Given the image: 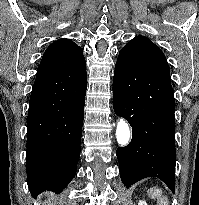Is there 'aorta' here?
I'll return each instance as SVG.
<instances>
[{"instance_id": "obj_1", "label": "aorta", "mask_w": 199, "mask_h": 205, "mask_svg": "<svg viewBox=\"0 0 199 205\" xmlns=\"http://www.w3.org/2000/svg\"><path fill=\"white\" fill-rule=\"evenodd\" d=\"M131 137V132L129 129V125L125 120H120L117 123V128H116V138L117 142L121 146H126Z\"/></svg>"}]
</instances>
